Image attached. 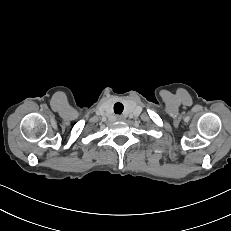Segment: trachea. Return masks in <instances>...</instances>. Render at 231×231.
Segmentation results:
<instances>
[{
  "label": "trachea",
  "mask_w": 231,
  "mask_h": 231,
  "mask_svg": "<svg viewBox=\"0 0 231 231\" xmlns=\"http://www.w3.org/2000/svg\"><path fill=\"white\" fill-rule=\"evenodd\" d=\"M124 106L122 103L118 102L114 105V112L116 114H121L123 112Z\"/></svg>",
  "instance_id": "1"
}]
</instances>
